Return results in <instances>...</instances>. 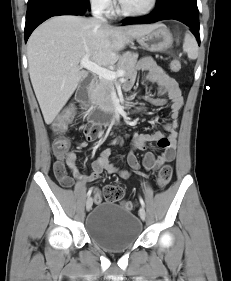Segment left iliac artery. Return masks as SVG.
<instances>
[{"label": "left iliac artery", "mask_w": 231, "mask_h": 281, "mask_svg": "<svg viewBox=\"0 0 231 281\" xmlns=\"http://www.w3.org/2000/svg\"><path fill=\"white\" fill-rule=\"evenodd\" d=\"M139 201H140L141 206L144 208L145 203H144V201H143L142 197H139Z\"/></svg>", "instance_id": "44dca946"}]
</instances>
